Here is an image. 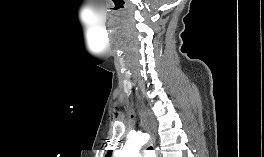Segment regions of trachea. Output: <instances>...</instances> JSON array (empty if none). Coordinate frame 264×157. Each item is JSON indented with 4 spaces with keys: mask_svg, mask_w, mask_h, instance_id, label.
Wrapping results in <instances>:
<instances>
[{
    "mask_svg": "<svg viewBox=\"0 0 264 157\" xmlns=\"http://www.w3.org/2000/svg\"><path fill=\"white\" fill-rule=\"evenodd\" d=\"M149 150H152V147H149Z\"/></svg>",
    "mask_w": 264,
    "mask_h": 157,
    "instance_id": "obj_1",
    "label": "trachea"
}]
</instances>
